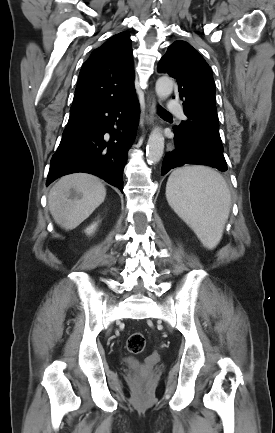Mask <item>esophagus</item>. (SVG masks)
Segmentation results:
<instances>
[{
    "mask_svg": "<svg viewBox=\"0 0 275 433\" xmlns=\"http://www.w3.org/2000/svg\"><path fill=\"white\" fill-rule=\"evenodd\" d=\"M156 111V99L152 92H148L146 95L145 110L143 113V119L147 124H152L154 121Z\"/></svg>",
    "mask_w": 275,
    "mask_h": 433,
    "instance_id": "34e87169",
    "label": "esophagus"
}]
</instances>
